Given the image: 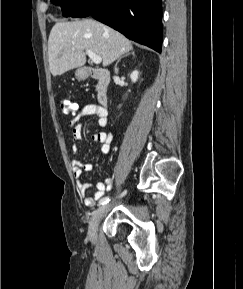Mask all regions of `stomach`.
Here are the masks:
<instances>
[{
  "label": "stomach",
  "instance_id": "stomach-1",
  "mask_svg": "<svg viewBox=\"0 0 243 289\" xmlns=\"http://www.w3.org/2000/svg\"><path fill=\"white\" fill-rule=\"evenodd\" d=\"M75 75L78 79H85L86 78V73L82 69L77 70Z\"/></svg>",
  "mask_w": 243,
  "mask_h": 289
}]
</instances>
